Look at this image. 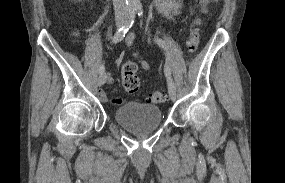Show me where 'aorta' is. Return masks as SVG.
Masks as SVG:
<instances>
[{"mask_svg": "<svg viewBox=\"0 0 285 183\" xmlns=\"http://www.w3.org/2000/svg\"><path fill=\"white\" fill-rule=\"evenodd\" d=\"M129 9L137 10L141 9L142 5L140 0H126Z\"/></svg>", "mask_w": 285, "mask_h": 183, "instance_id": "obj_1", "label": "aorta"}]
</instances>
